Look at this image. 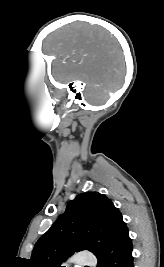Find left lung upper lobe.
<instances>
[{"label":"left lung upper lobe","mask_w":164,"mask_h":267,"mask_svg":"<svg viewBox=\"0 0 164 267\" xmlns=\"http://www.w3.org/2000/svg\"><path fill=\"white\" fill-rule=\"evenodd\" d=\"M123 224L120 211L99 192L79 194L35 244L31 267H61L74 252L97 254Z\"/></svg>","instance_id":"5c2ea615"}]
</instances>
